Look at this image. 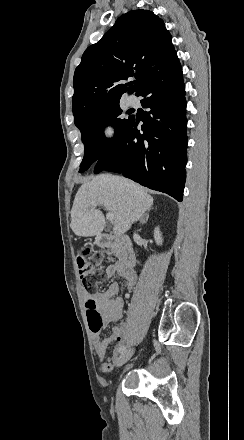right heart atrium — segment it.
<instances>
[{
  "mask_svg": "<svg viewBox=\"0 0 244 440\" xmlns=\"http://www.w3.org/2000/svg\"><path fill=\"white\" fill-rule=\"evenodd\" d=\"M102 133L108 139H111L114 137V135L116 133V129H115V126L112 123V121L107 120L102 124Z\"/></svg>",
  "mask_w": 244,
  "mask_h": 440,
  "instance_id": "d8ad5b80",
  "label": "right heart atrium"
}]
</instances>
